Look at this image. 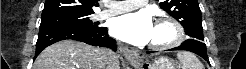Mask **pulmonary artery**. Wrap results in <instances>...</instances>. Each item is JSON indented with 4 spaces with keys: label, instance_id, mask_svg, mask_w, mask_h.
Returning a JSON list of instances; mask_svg holds the SVG:
<instances>
[{
    "label": "pulmonary artery",
    "instance_id": "e3ab8cb5",
    "mask_svg": "<svg viewBox=\"0 0 246 69\" xmlns=\"http://www.w3.org/2000/svg\"><path fill=\"white\" fill-rule=\"evenodd\" d=\"M147 4V1L144 0H130V1H123L117 3H110L108 4L109 9L100 11L98 13L99 19H105L120 13H124L130 10H134L140 8Z\"/></svg>",
    "mask_w": 246,
    "mask_h": 69
}]
</instances>
